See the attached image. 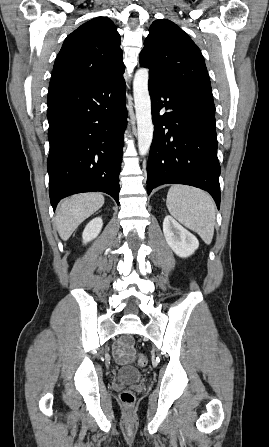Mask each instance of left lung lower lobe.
Segmentation results:
<instances>
[{"instance_id":"0a47b994","label":"left lung lower lobe","mask_w":269,"mask_h":447,"mask_svg":"<svg viewBox=\"0 0 269 447\" xmlns=\"http://www.w3.org/2000/svg\"><path fill=\"white\" fill-rule=\"evenodd\" d=\"M153 141L147 164V192L167 183L206 190L220 206V165L215 114L184 92L149 79ZM169 110L161 115L162 110Z\"/></svg>"}]
</instances>
